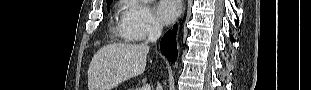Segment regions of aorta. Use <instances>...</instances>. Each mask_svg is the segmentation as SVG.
<instances>
[{"label": "aorta", "mask_w": 311, "mask_h": 90, "mask_svg": "<svg viewBox=\"0 0 311 90\" xmlns=\"http://www.w3.org/2000/svg\"><path fill=\"white\" fill-rule=\"evenodd\" d=\"M142 2L148 3V2H150V0H142Z\"/></svg>", "instance_id": "aorta-1"}]
</instances>
